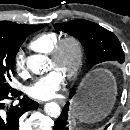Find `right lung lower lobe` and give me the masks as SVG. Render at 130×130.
Here are the masks:
<instances>
[{
  "label": "right lung lower lobe",
  "instance_id": "right-lung-lower-lobe-1",
  "mask_svg": "<svg viewBox=\"0 0 130 130\" xmlns=\"http://www.w3.org/2000/svg\"><path fill=\"white\" fill-rule=\"evenodd\" d=\"M21 92L13 89L9 85L0 84V130H19V118L26 111L36 109L38 103L24 96L22 99ZM19 98V103L7 105L9 99Z\"/></svg>",
  "mask_w": 130,
  "mask_h": 130
}]
</instances>
